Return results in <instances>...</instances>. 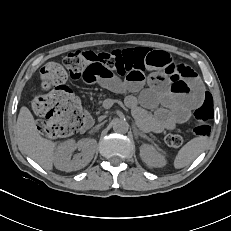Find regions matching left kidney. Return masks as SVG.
I'll return each instance as SVG.
<instances>
[{"mask_svg": "<svg viewBox=\"0 0 231 231\" xmlns=\"http://www.w3.org/2000/svg\"><path fill=\"white\" fill-rule=\"evenodd\" d=\"M140 156L149 167L160 168L166 164L165 157L160 149L150 144L141 145Z\"/></svg>", "mask_w": 231, "mask_h": 231, "instance_id": "obj_1", "label": "left kidney"}]
</instances>
